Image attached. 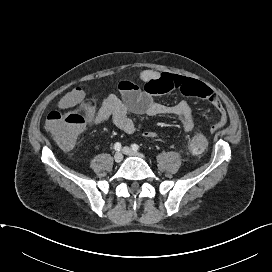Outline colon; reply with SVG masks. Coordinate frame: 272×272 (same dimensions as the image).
<instances>
[{
	"label": "colon",
	"mask_w": 272,
	"mask_h": 272,
	"mask_svg": "<svg viewBox=\"0 0 272 272\" xmlns=\"http://www.w3.org/2000/svg\"><path fill=\"white\" fill-rule=\"evenodd\" d=\"M61 111H52L46 118V129L63 147H72L82 132L95 103L85 98L83 92L76 88L68 92L60 101ZM190 150L195 154L202 153L207 147V139L202 134L192 137Z\"/></svg>",
	"instance_id": "5ec220e1"
}]
</instances>
